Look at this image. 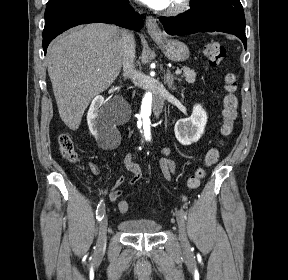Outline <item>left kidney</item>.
Masks as SVG:
<instances>
[{
  "instance_id": "obj_1",
  "label": "left kidney",
  "mask_w": 288,
  "mask_h": 280,
  "mask_svg": "<svg viewBox=\"0 0 288 280\" xmlns=\"http://www.w3.org/2000/svg\"><path fill=\"white\" fill-rule=\"evenodd\" d=\"M207 123V114L201 105L193 107L192 115L180 119L175 124V136L182 145H191L197 142L204 133Z\"/></svg>"
}]
</instances>
